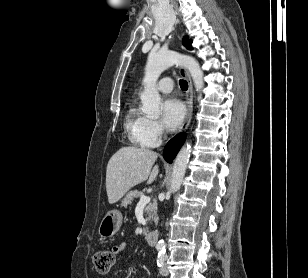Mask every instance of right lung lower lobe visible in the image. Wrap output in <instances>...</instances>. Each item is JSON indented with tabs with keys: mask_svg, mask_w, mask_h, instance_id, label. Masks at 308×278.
Here are the masks:
<instances>
[{
	"mask_svg": "<svg viewBox=\"0 0 308 278\" xmlns=\"http://www.w3.org/2000/svg\"><path fill=\"white\" fill-rule=\"evenodd\" d=\"M184 141H185V134H179L167 143L163 152L164 159L167 162L172 163L173 159L177 155Z\"/></svg>",
	"mask_w": 308,
	"mask_h": 278,
	"instance_id": "98d812e1",
	"label": "right lung lower lobe"
}]
</instances>
